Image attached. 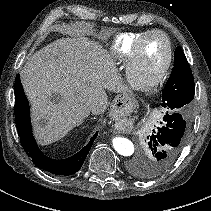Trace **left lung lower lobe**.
<instances>
[{
	"label": "left lung lower lobe",
	"instance_id": "0a47b994",
	"mask_svg": "<svg viewBox=\"0 0 211 211\" xmlns=\"http://www.w3.org/2000/svg\"><path fill=\"white\" fill-rule=\"evenodd\" d=\"M162 127L153 129L147 136L146 152L155 160L157 168L170 164L179 154L189 123V113L175 111L163 118Z\"/></svg>",
	"mask_w": 211,
	"mask_h": 211
}]
</instances>
